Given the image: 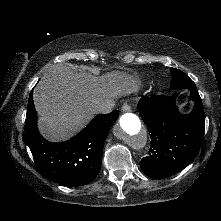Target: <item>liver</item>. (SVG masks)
<instances>
[{"mask_svg": "<svg viewBox=\"0 0 221 221\" xmlns=\"http://www.w3.org/2000/svg\"><path fill=\"white\" fill-rule=\"evenodd\" d=\"M139 81L125 72L102 76L75 72L65 64L52 66L33 94L39 130L50 141L65 140L82 129L104 102L130 95Z\"/></svg>", "mask_w": 221, "mask_h": 221, "instance_id": "1", "label": "liver"}]
</instances>
